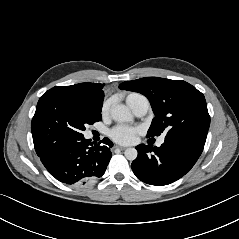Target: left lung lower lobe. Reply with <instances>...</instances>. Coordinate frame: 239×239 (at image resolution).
Segmentation results:
<instances>
[{
  "mask_svg": "<svg viewBox=\"0 0 239 239\" xmlns=\"http://www.w3.org/2000/svg\"><path fill=\"white\" fill-rule=\"evenodd\" d=\"M204 145L179 137H165L160 147L141 144L131 167L141 181L163 186L184 176L196 163Z\"/></svg>",
  "mask_w": 239,
  "mask_h": 239,
  "instance_id": "left-lung-lower-lobe-1",
  "label": "left lung lower lobe"
}]
</instances>
